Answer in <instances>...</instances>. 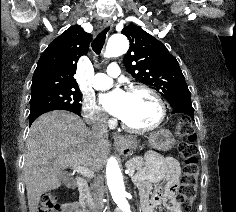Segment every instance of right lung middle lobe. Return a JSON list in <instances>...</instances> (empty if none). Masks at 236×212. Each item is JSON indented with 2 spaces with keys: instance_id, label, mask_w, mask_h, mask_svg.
<instances>
[{
  "instance_id": "1",
  "label": "right lung middle lobe",
  "mask_w": 236,
  "mask_h": 212,
  "mask_svg": "<svg viewBox=\"0 0 236 212\" xmlns=\"http://www.w3.org/2000/svg\"><path fill=\"white\" fill-rule=\"evenodd\" d=\"M82 95L79 89H49L31 94L30 113L41 109H61L80 112Z\"/></svg>"
}]
</instances>
